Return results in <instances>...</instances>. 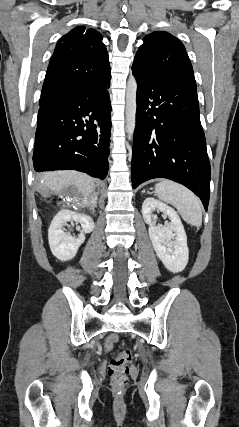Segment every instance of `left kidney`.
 I'll list each match as a JSON object with an SVG mask.
<instances>
[{"label": "left kidney", "instance_id": "5707ae66", "mask_svg": "<svg viewBox=\"0 0 239 427\" xmlns=\"http://www.w3.org/2000/svg\"><path fill=\"white\" fill-rule=\"evenodd\" d=\"M156 210L169 217L168 225L156 226L152 220ZM142 215L145 223L149 225V237L156 255L169 271H182L188 263L189 250L187 236L177 212L154 198H146L142 204Z\"/></svg>", "mask_w": 239, "mask_h": 427}]
</instances>
